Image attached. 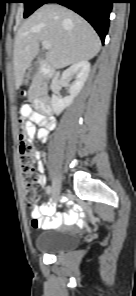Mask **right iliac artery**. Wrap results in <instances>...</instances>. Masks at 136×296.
<instances>
[{
  "instance_id": "right-iliac-artery-1",
  "label": "right iliac artery",
  "mask_w": 136,
  "mask_h": 296,
  "mask_svg": "<svg viewBox=\"0 0 136 296\" xmlns=\"http://www.w3.org/2000/svg\"><path fill=\"white\" fill-rule=\"evenodd\" d=\"M46 192H47V197L49 198L51 196L50 193L52 192L51 186L47 187Z\"/></svg>"
}]
</instances>
